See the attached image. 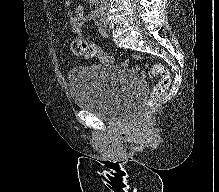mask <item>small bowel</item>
Listing matches in <instances>:
<instances>
[{
  "label": "small bowel",
  "mask_w": 219,
  "mask_h": 192,
  "mask_svg": "<svg viewBox=\"0 0 219 192\" xmlns=\"http://www.w3.org/2000/svg\"><path fill=\"white\" fill-rule=\"evenodd\" d=\"M94 2L95 0H90V3H94ZM66 4H69V2H67ZM95 18H96L95 11H91L87 16H85L84 6L77 5L74 8V11L70 18V26H71L72 31L78 36H80L82 33L83 23L85 21L94 20ZM98 29L100 33L102 34V36L104 37L107 36L106 30L101 24H98ZM137 71H138L137 67L131 68V72L136 73Z\"/></svg>",
  "instance_id": "1"
}]
</instances>
